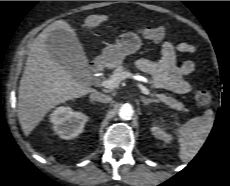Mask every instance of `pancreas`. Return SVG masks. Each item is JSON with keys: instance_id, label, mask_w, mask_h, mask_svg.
I'll return each mask as SVG.
<instances>
[{"instance_id": "pancreas-1", "label": "pancreas", "mask_w": 230, "mask_h": 186, "mask_svg": "<svg viewBox=\"0 0 230 186\" xmlns=\"http://www.w3.org/2000/svg\"><path fill=\"white\" fill-rule=\"evenodd\" d=\"M124 72H126V69L124 68V66H118L114 70L112 77L120 76ZM152 95L156 98L155 100L157 102H163L164 104L168 105L170 108L178 110V111L188 112V109H186L185 106L181 102H179L178 100L172 97L166 96L165 94H158L156 92H154Z\"/></svg>"}]
</instances>
